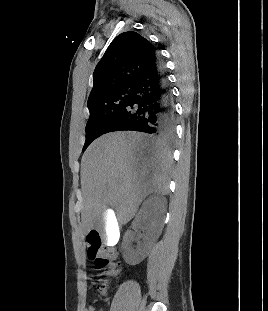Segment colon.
<instances>
[{
    "label": "colon",
    "instance_id": "1",
    "mask_svg": "<svg viewBox=\"0 0 268 311\" xmlns=\"http://www.w3.org/2000/svg\"><path fill=\"white\" fill-rule=\"evenodd\" d=\"M103 239L97 231H91L87 237V256L94 266L104 270L109 276H117L119 263L117 261L118 250L111 246H103ZM92 286L100 291H105L107 284L105 280H91Z\"/></svg>",
    "mask_w": 268,
    "mask_h": 311
}]
</instances>
